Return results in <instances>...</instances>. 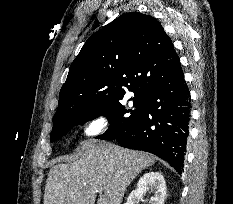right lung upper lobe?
Wrapping results in <instances>:
<instances>
[{
	"label": "right lung upper lobe",
	"mask_w": 233,
	"mask_h": 204,
	"mask_svg": "<svg viewBox=\"0 0 233 204\" xmlns=\"http://www.w3.org/2000/svg\"><path fill=\"white\" fill-rule=\"evenodd\" d=\"M180 62L161 24L139 12L124 14L94 33L70 66L53 123L121 99L146 94Z\"/></svg>",
	"instance_id": "1"
}]
</instances>
